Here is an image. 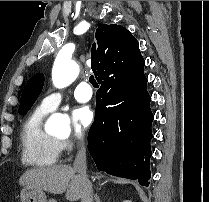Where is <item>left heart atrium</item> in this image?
I'll use <instances>...</instances> for the list:
<instances>
[{
	"label": "left heart atrium",
	"instance_id": "left-heart-atrium-1",
	"mask_svg": "<svg viewBox=\"0 0 209 202\" xmlns=\"http://www.w3.org/2000/svg\"><path fill=\"white\" fill-rule=\"evenodd\" d=\"M95 118V112L88 106L80 107L73 115V132L77 138H80L84 131L92 124Z\"/></svg>",
	"mask_w": 209,
	"mask_h": 202
}]
</instances>
